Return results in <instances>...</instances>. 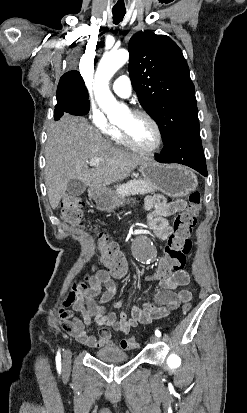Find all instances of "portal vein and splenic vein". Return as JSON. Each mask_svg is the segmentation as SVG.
<instances>
[{
	"label": "portal vein and splenic vein",
	"mask_w": 247,
	"mask_h": 413,
	"mask_svg": "<svg viewBox=\"0 0 247 413\" xmlns=\"http://www.w3.org/2000/svg\"><path fill=\"white\" fill-rule=\"evenodd\" d=\"M100 158H90L89 164L90 166H96V164H99Z\"/></svg>",
	"instance_id": "1"
}]
</instances>
